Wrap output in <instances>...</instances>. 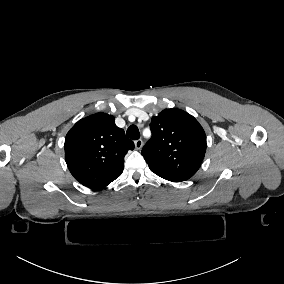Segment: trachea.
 <instances>
[{"instance_id": "trachea-1", "label": "trachea", "mask_w": 284, "mask_h": 284, "mask_svg": "<svg viewBox=\"0 0 284 284\" xmlns=\"http://www.w3.org/2000/svg\"><path fill=\"white\" fill-rule=\"evenodd\" d=\"M127 137L132 140H137L140 138V132L135 125H131L126 131Z\"/></svg>"}]
</instances>
